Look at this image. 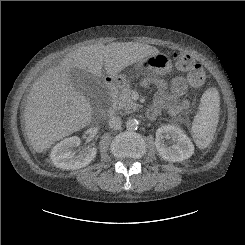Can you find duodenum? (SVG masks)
Wrapping results in <instances>:
<instances>
[{"label": "duodenum", "mask_w": 245, "mask_h": 245, "mask_svg": "<svg viewBox=\"0 0 245 245\" xmlns=\"http://www.w3.org/2000/svg\"><path fill=\"white\" fill-rule=\"evenodd\" d=\"M107 90L109 93V104L105 111L107 117H113L116 114V97L123 86V82L118 77L107 78Z\"/></svg>", "instance_id": "duodenum-1"}]
</instances>
